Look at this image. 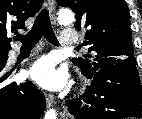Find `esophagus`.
<instances>
[{
    "instance_id": "obj_1",
    "label": "esophagus",
    "mask_w": 142,
    "mask_h": 119,
    "mask_svg": "<svg viewBox=\"0 0 142 119\" xmlns=\"http://www.w3.org/2000/svg\"><path fill=\"white\" fill-rule=\"evenodd\" d=\"M46 6L48 10L50 11V13H52L54 11V0H47ZM45 99H46V103L49 106H51L54 103V97L52 94L45 93Z\"/></svg>"
}]
</instances>
